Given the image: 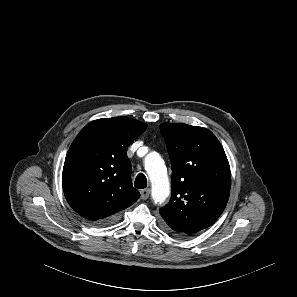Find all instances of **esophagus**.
Listing matches in <instances>:
<instances>
[{"label":"esophagus","mask_w":297,"mask_h":297,"mask_svg":"<svg viewBox=\"0 0 297 297\" xmlns=\"http://www.w3.org/2000/svg\"><path fill=\"white\" fill-rule=\"evenodd\" d=\"M140 194H141V198L143 200H146L149 197V195H150V189L149 188L142 189L140 191Z\"/></svg>","instance_id":"34e87169"}]
</instances>
